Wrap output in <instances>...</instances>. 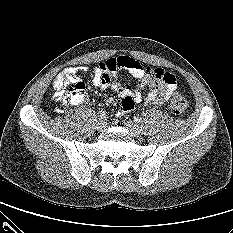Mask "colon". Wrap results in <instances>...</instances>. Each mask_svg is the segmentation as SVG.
I'll return each instance as SVG.
<instances>
[{
  "mask_svg": "<svg viewBox=\"0 0 233 233\" xmlns=\"http://www.w3.org/2000/svg\"><path fill=\"white\" fill-rule=\"evenodd\" d=\"M85 96V85L82 83L71 85L67 91H65L64 97L60 103L66 105L67 103H73L80 101ZM171 111L177 116L183 115L188 107L187 99L181 93H175L170 102Z\"/></svg>",
  "mask_w": 233,
  "mask_h": 233,
  "instance_id": "colon-1",
  "label": "colon"
}]
</instances>
